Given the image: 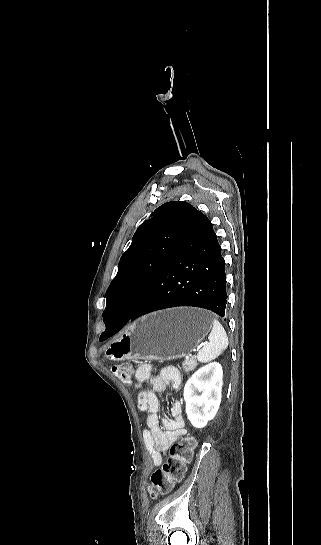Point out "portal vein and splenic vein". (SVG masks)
I'll return each mask as SVG.
<instances>
[{
  "label": "portal vein and splenic vein",
  "mask_w": 321,
  "mask_h": 545,
  "mask_svg": "<svg viewBox=\"0 0 321 545\" xmlns=\"http://www.w3.org/2000/svg\"><path fill=\"white\" fill-rule=\"evenodd\" d=\"M207 344V341L205 339H202L201 341L198 342V348L196 349L198 352L203 349L205 347V345Z\"/></svg>",
  "instance_id": "obj_1"
}]
</instances>
